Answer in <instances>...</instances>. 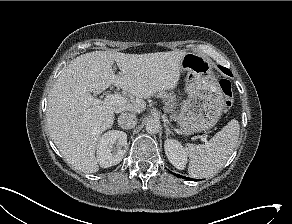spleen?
<instances>
[{
    "label": "spleen",
    "instance_id": "1",
    "mask_svg": "<svg viewBox=\"0 0 292 224\" xmlns=\"http://www.w3.org/2000/svg\"><path fill=\"white\" fill-rule=\"evenodd\" d=\"M239 132L238 121L232 119L206 144H188L186 150L190 157L189 175L193 178H205L217 173L236 147Z\"/></svg>",
    "mask_w": 292,
    "mask_h": 224
}]
</instances>
